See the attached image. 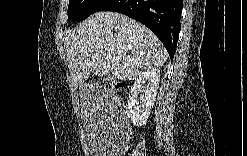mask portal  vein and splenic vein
<instances>
[{"mask_svg": "<svg viewBox=\"0 0 247 156\" xmlns=\"http://www.w3.org/2000/svg\"><path fill=\"white\" fill-rule=\"evenodd\" d=\"M115 61H119V57H116V58H115Z\"/></svg>", "mask_w": 247, "mask_h": 156, "instance_id": "1", "label": "portal vein and splenic vein"}]
</instances>
